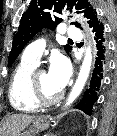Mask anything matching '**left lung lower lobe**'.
<instances>
[{"label": "left lung lower lobe", "mask_w": 117, "mask_h": 136, "mask_svg": "<svg viewBox=\"0 0 117 136\" xmlns=\"http://www.w3.org/2000/svg\"><path fill=\"white\" fill-rule=\"evenodd\" d=\"M96 42V57L91 79L84 92V95L75 108L82 110L85 114L91 115L93 106L98 98L103 77L109 64L108 44L104 32V26L100 22L93 27Z\"/></svg>", "instance_id": "left-lung-lower-lobe-1"}]
</instances>
